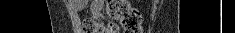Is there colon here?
I'll return each instance as SVG.
<instances>
[{"label":"colon","instance_id":"colon-1","mask_svg":"<svg viewBox=\"0 0 235 33\" xmlns=\"http://www.w3.org/2000/svg\"><path fill=\"white\" fill-rule=\"evenodd\" d=\"M106 15L109 19L117 21L123 33H142L141 15L124 0H108ZM85 33H117L118 26L113 23H101L94 19L83 22Z\"/></svg>","mask_w":235,"mask_h":33}]
</instances>
